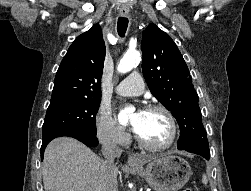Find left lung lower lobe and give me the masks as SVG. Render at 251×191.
<instances>
[{
	"label": "left lung lower lobe",
	"instance_id": "left-lung-lower-lobe-1",
	"mask_svg": "<svg viewBox=\"0 0 251 191\" xmlns=\"http://www.w3.org/2000/svg\"><path fill=\"white\" fill-rule=\"evenodd\" d=\"M179 150H184V151H188L191 153H195L198 155H201L202 157L209 159L210 158V153H206L204 152L200 147L198 146H187V147H182V148H178Z\"/></svg>",
	"mask_w": 251,
	"mask_h": 191
}]
</instances>
